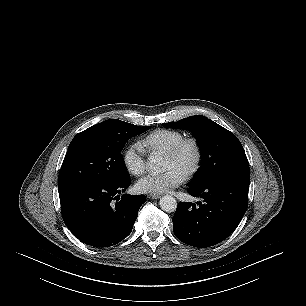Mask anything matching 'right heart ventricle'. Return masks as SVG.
I'll use <instances>...</instances> for the list:
<instances>
[{
	"mask_svg": "<svg viewBox=\"0 0 306 306\" xmlns=\"http://www.w3.org/2000/svg\"><path fill=\"white\" fill-rule=\"evenodd\" d=\"M183 138L184 134L180 131L157 129L146 135L140 141V144L151 153L160 152L165 154Z\"/></svg>",
	"mask_w": 306,
	"mask_h": 306,
	"instance_id": "right-heart-ventricle-1",
	"label": "right heart ventricle"
}]
</instances>
